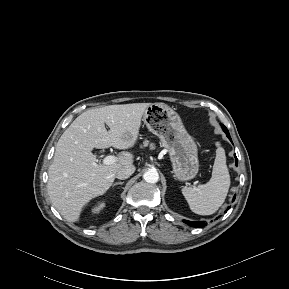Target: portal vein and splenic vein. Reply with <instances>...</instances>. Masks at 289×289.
Instances as JSON below:
<instances>
[{
  "label": "portal vein and splenic vein",
  "mask_w": 289,
  "mask_h": 289,
  "mask_svg": "<svg viewBox=\"0 0 289 289\" xmlns=\"http://www.w3.org/2000/svg\"><path fill=\"white\" fill-rule=\"evenodd\" d=\"M117 162V157L114 155H108L103 159V164L111 165Z\"/></svg>",
  "instance_id": "18ae733b"
}]
</instances>
